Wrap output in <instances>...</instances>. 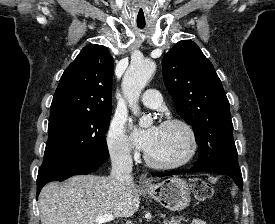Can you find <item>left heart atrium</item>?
I'll return each mask as SVG.
<instances>
[{
    "mask_svg": "<svg viewBox=\"0 0 275 224\" xmlns=\"http://www.w3.org/2000/svg\"><path fill=\"white\" fill-rule=\"evenodd\" d=\"M158 131V126H152L148 129H135L132 135L133 141L137 147L148 152L156 140Z\"/></svg>",
    "mask_w": 275,
    "mask_h": 224,
    "instance_id": "left-heart-atrium-1",
    "label": "left heart atrium"
}]
</instances>
